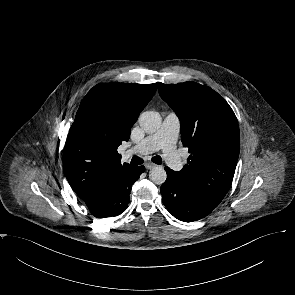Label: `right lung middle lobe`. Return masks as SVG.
<instances>
[{"label":"right lung middle lobe","instance_id":"dd1d6c3e","mask_svg":"<svg viewBox=\"0 0 295 295\" xmlns=\"http://www.w3.org/2000/svg\"><path fill=\"white\" fill-rule=\"evenodd\" d=\"M83 112L92 123L111 120L114 116L113 99L104 85L93 87L82 100Z\"/></svg>","mask_w":295,"mask_h":295}]
</instances>
